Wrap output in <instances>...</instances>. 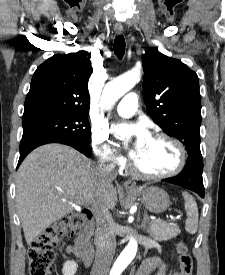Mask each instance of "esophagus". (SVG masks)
Returning a JSON list of instances; mask_svg holds the SVG:
<instances>
[{
    "label": "esophagus",
    "instance_id": "1",
    "mask_svg": "<svg viewBox=\"0 0 225 275\" xmlns=\"http://www.w3.org/2000/svg\"><path fill=\"white\" fill-rule=\"evenodd\" d=\"M114 30H115V33L117 35H121L123 33V27L121 25H116L114 27ZM124 187L126 189H135L136 188V183L132 180H127L125 183H124Z\"/></svg>",
    "mask_w": 225,
    "mask_h": 275
}]
</instances>
